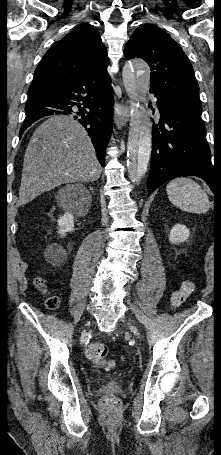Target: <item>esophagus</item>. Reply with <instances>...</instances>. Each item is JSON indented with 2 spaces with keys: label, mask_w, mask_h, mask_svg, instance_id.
<instances>
[{
  "label": "esophagus",
  "mask_w": 221,
  "mask_h": 455,
  "mask_svg": "<svg viewBox=\"0 0 221 455\" xmlns=\"http://www.w3.org/2000/svg\"><path fill=\"white\" fill-rule=\"evenodd\" d=\"M129 121V105L126 103H115V122L118 129H122Z\"/></svg>",
  "instance_id": "34e87169"
}]
</instances>
